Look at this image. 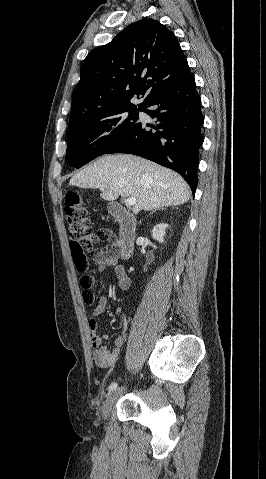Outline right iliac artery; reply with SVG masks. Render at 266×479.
Instances as JSON below:
<instances>
[{
	"label": "right iliac artery",
	"instance_id": "82829eb1",
	"mask_svg": "<svg viewBox=\"0 0 266 479\" xmlns=\"http://www.w3.org/2000/svg\"><path fill=\"white\" fill-rule=\"evenodd\" d=\"M117 388V383H112L110 386H109V391H113Z\"/></svg>",
	"mask_w": 266,
	"mask_h": 479
}]
</instances>
